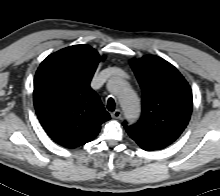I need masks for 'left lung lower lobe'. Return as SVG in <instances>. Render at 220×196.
I'll list each match as a JSON object with an SVG mask.
<instances>
[{
    "mask_svg": "<svg viewBox=\"0 0 220 196\" xmlns=\"http://www.w3.org/2000/svg\"><path fill=\"white\" fill-rule=\"evenodd\" d=\"M129 136L144 150L146 151H153L150 147L145 145L141 140H139L137 137H135L133 134L128 133Z\"/></svg>",
    "mask_w": 220,
    "mask_h": 196,
    "instance_id": "left-lung-lower-lobe-1",
    "label": "left lung lower lobe"
}]
</instances>
